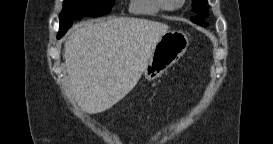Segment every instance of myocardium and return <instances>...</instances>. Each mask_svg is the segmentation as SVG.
I'll return each instance as SVG.
<instances>
[{
  "label": "myocardium",
  "instance_id": "f54148a6",
  "mask_svg": "<svg viewBox=\"0 0 273 144\" xmlns=\"http://www.w3.org/2000/svg\"><path fill=\"white\" fill-rule=\"evenodd\" d=\"M172 1L174 0H159L160 7L164 10H173L175 7L170 5V2ZM176 2L182 3L183 0H176Z\"/></svg>",
  "mask_w": 273,
  "mask_h": 144
}]
</instances>
